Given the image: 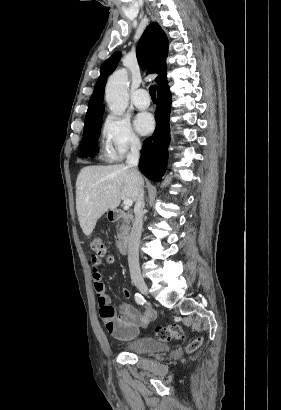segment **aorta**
<instances>
[{
  "mask_svg": "<svg viewBox=\"0 0 281 410\" xmlns=\"http://www.w3.org/2000/svg\"><path fill=\"white\" fill-rule=\"evenodd\" d=\"M105 97L109 109L116 115H122L128 107V73L125 69L114 72L108 79Z\"/></svg>",
  "mask_w": 281,
  "mask_h": 410,
  "instance_id": "762f6f07",
  "label": "aorta"
}]
</instances>
